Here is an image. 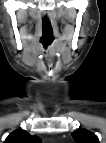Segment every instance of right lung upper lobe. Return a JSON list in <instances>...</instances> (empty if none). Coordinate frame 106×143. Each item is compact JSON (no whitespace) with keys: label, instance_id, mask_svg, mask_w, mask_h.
<instances>
[{"label":"right lung upper lobe","instance_id":"1","mask_svg":"<svg viewBox=\"0 0 106 143\" xmlns=\"http://www.w3.org/2000/svg\"><path fill=\"white\" fill-rule=\"evenodd\" d=\"M40 139L36 135L31 136L27 131L18 129L12 132L4 143H39Z\"/></svg>","mask_w":106,"mask_h":143}]
</instances>
